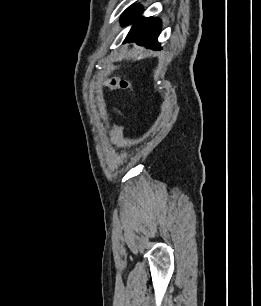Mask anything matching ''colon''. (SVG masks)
<instances>
[{"instance_id": "obj_1", "label": "colon", "mask_w": 261, "mask_h": 306, "mask_svg": "<svg viewBox=\"0 0 261 306\" xmlns=\"http://www.w3.org/2000/svg\"><path fill=\"white\" fill-rule=\"evenodd\" d=\"M107 86L113 89H132L133 86L129 81L117 78H111L107 81ZM123 126L122 124H117L113 130V136L119 138L122 135Z\"/></svg>"}]
</instances>
